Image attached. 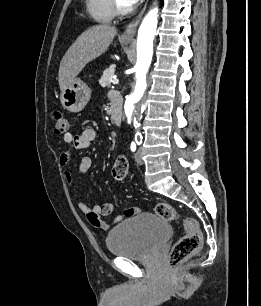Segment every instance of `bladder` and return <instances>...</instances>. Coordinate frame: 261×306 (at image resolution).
Returning <instances> with one entry per match:
<instances>
[{
    "instance_id": "obj_1",
    "label": "bladder",
    "mask_w": 261,
    "mask_h": 306,
    "mask_svg": "<svg viewBox=\"0 0 261 306\" xmlns=\"http://www.w3.org/2000/svg\"><path fill=\"white\" fill-rule=\"evenodd\" d=\"M171 227L157 214L142 213L114 227L106 237L109 252L118 257L146 260L169 239Z\"/></svg>"
}]
</instances>
